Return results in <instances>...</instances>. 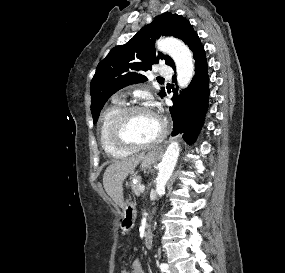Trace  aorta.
<instances>
[{"label": "aorta", "mask_w": 285, "mask_h": 273, "mask_svg": "<svg viewBox=\"0 0 285 273\" xmlns=\"http://www.w3.org/2000/svg\"><path fill=\"white\" fill-rule=\"evenodd\" d=\"M157 48L172 57L177 69L178 85L181 88L187 87L194 74L193 56L187 45L175 38H165L157 42ZM179 153V143L171 142L159 165V172L156 178V193L159 196L165 193V186L176 166Z\"/></svg>", "instance_id": "aorta-1"}]
</instances>
